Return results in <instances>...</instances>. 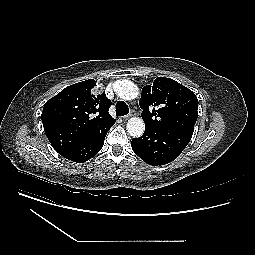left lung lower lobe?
I'll return each instance as SVG.
<instances>
[{"instance_id": "0a47b994", "label": "left lung lower lobe", "mask_w": 255, "mask_h": 255, "mask_svg": "<svg viewBox=\"0 0 255 255\" xmlns=\"http://www.w3.org/2000/svg\"><path fill=\"white\" fill-rule=\"evenodd\" d=\"M193 133L145 127L131 146L136 155L149 165H165L175 160L188 145Z\"/></svg>"}]
</instances>
